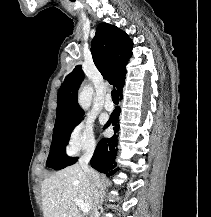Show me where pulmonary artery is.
Returning <instances> with one entry per match:
<instances>
[{"instance_id":"e3ab8cb5","label":"pulmonary artery","mask_w":211,"mask_h":217,"mask_svg":"<svg viewBox=\"0 0 211 217\" xmlns=\"http://www.w3.org/2000/svg\"><path fill=\"white\" fill-rule=\"evenodd\" d=\"M104 108L107 111H112L114 109V104H113V102L111 100V96L109 94L106 96Z\"/></svg>"}]
</instances>
